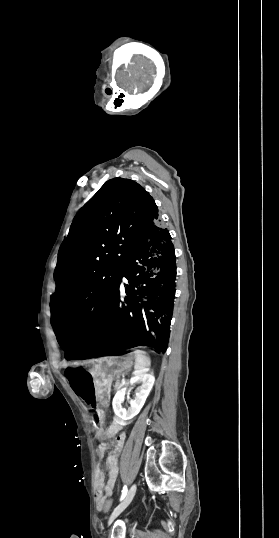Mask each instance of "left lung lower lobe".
Returning <instances> with one entry per match:
<instances>
[{
    "mask_svg": "<svg viewBox=\"0 0 279 538\" xmlns=\"http://www.w3.org/2000/svg\"><path fill=\"white\" fill-rule=\"evenodd\" d=\"M175 251L167 229L154 223L125 261L120 282L97 325L87 335L65 331L57 335L66 359H89L117 350L150 346L165 352L175 298Z\"/></svg>",
    "mask_w": 279,
    "mask_h": 538,
    "instance_id": "obj_1",
    "label": "left lung lower lobe"
}]
</instances>
